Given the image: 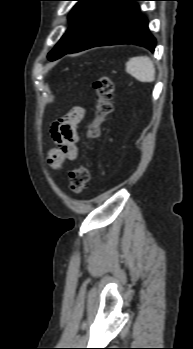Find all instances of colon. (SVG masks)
<instances>
[{
	"mask_svg": "<svg viewBox=\"0 0 193 349\" xmlns=\"http://www.w3.org/2000/svg\"><path fill=\"white\" fill-rule=\"evenodd\" d=\"M96 92L94 118L89 123L86 131V138L91 145L99 136L102 123L112 111V98L114 85L107 76L99 77L93 84ZM90 174L84 164L78 165L70 172L69 187L75 193H81L89 181Z\"/></svg>",
	"mask_w": 193,
	"mask_h": 349,
	"instance_id": "1",
	"label": "colon"
}]
</instances>
